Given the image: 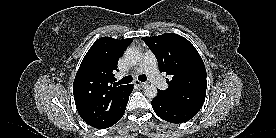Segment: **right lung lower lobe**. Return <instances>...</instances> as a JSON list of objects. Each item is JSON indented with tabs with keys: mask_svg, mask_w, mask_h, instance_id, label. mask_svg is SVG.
Listing matches in <instances>:
<instances>
[{
	"mask_svg": "<svg viewBox=\"0 0 276 138\" xmlns=\"http://www.w3.org/2000/svg\"><path fill=\"white\" fill-rule=\"evenodd\" d=\"M130 86H131V92H132V90H133V85L131 84Z\"/></svg>",
	"mask_w": 276,
	"mask_h": 138,
	"instance_id": "98d812e1",
	"label": "right lung lower lobe"
}]
</instances>
